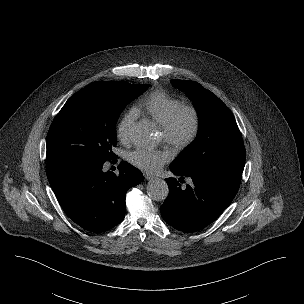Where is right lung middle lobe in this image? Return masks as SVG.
<instances>
[{"instance_id":"right-lung-middle-lobe-1","label":"right lung middle lobe","mask_w":304,"mask_h":304,"mask_svg":"<svg viewBox=\"0 0 304 304\" xmlns=\"http://www.w3.org/2000/svg\"><path fill=\"white\" fill-rule=\"evenodd\" d=\"M148 87L118 81L94 82L74 94L49 129L47 164L72 170L112 158L119 114Z\"/></svg>"}]
</instances>
